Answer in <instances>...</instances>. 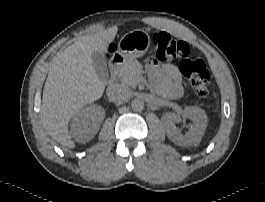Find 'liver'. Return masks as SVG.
I'll list each match as a JSON object with an SVG mask.
<instances>
[{
  "label": "liver",
  "instance_id": "1",
  "mask_svg": "<svg viewBox=\"0 0 265 202\" xmlns=\"http://www.w3.org/2000/svg\"><path fill=\"white\" fill-rule=\"evenodd\" d=\"M117 31V26L100 27L96 33L81 36L53 59L44 85L41 119L45 131L62 146L75 147L68 130L71 118L104 93L105 83L95 72L91 54L107 52Z\"/></svg>",
  "mask_w": 265,
  "mask_h": 202
}]
</instances>
